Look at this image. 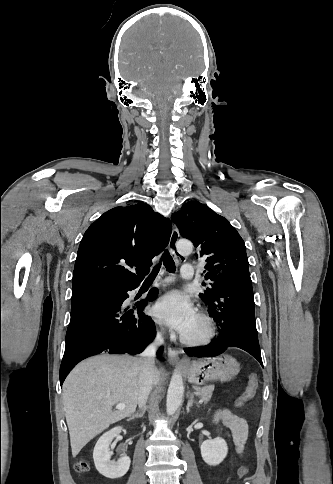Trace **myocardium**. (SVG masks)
I'll return each mask as SVG.
<instances>
[{"mask_svg": "<svg viewBox=\"0 0 333 484\" xmlns=\"http://www.w3.org/2000/svg\"><path fill=\"white\" fill-rule=\"evenodd\" d=\"M197 317L204 324L205 330H204L203 335L198 337V338H189V337L185 336L184 334H182L180 336L181 342L184 345L189 346V347H203V346L208 345L212 341V339L214 338L215 333H216L215 324H214L213 320L211 319V317L209 315H207L204 312H199L197 314Z\"/></svg>", "mask_w": 333, "mask_h": 484, "instance_id": "obj_1", "label": "myocardium"}]
</instances>
